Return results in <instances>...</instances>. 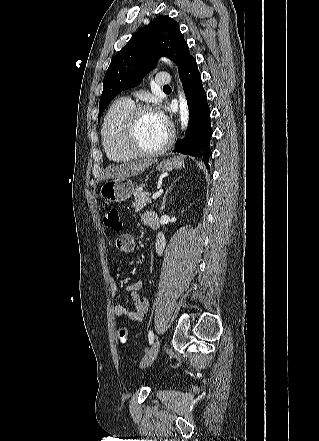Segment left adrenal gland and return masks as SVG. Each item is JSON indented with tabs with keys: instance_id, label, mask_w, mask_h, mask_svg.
<instances>
[{
	"instance_id": "left-adrenal-gland-1",
	"label": "left adrenal gland",
	"mask_w": 319,
	"mask_h": 441,
	"mask_svg": "<svg viewBox=\"0 0 319 441\" xmlns=\"http://www.w3.org/2000/svg\"><path fill=\"white\" fill-rule=\"evenodd\" d=\"M180 179H181V177H178L175 181H173V183H171V185L165 191V194L163 196V201H162V204H161V208H160L161 211L164 210L165 207H166L167 195L171 192L175 182L179 181Z\"/></svg>"
}]
</instances>
